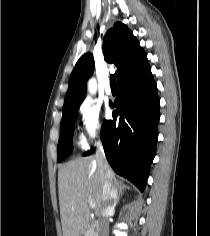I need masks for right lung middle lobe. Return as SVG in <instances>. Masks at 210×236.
<instances>
[{
	"label": "right lung middle lobe",
	"instance_id": "obj_1",
	"mask_svg": "<svg viewBox=\"0 0 210 236\" xmlns=\"http://www.w3.org/2000/svg\"><path fill=\"white\" fill-rule=\"evenodd\" d=\"M77 111L78 109H74L62 113L60 137L57 147L58 162H61L71 154V143Z\"/></svg>",
	"mask_w": 210,
	"mask_h": 236
}]
</instances>
